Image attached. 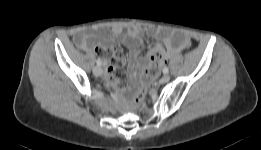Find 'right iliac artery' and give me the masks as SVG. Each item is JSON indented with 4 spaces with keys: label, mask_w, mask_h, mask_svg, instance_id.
Listing matches in <instances>:
<instances>
[{
    "label": "right iliac artery",
    "mask_w": 261,
    "mask_h": 150,
    "mask_svg": "<svg viewBox=\"0 0 261 150\" xmlns=\"http://www.w3.org/2000/svg\"><path fill=\"white\" fill-rule=\"evenodd\" d=\"M96 63H97L98 66H100V65H101V60H100V59H97V60H96Z\"/></svg>",
    "instance_id": "82829eb1"
}]
</instances>
